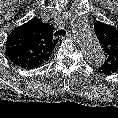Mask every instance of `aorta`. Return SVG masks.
I'll return each mask as SVG.
<instances>
[{"mask_svg": "<svg viewBox=\"0 0 118 118\" xmlns=\"http://www.w3.org/2000/svg\"><path fill=\"white\" fill-rule=\"evenodd\" d=\"M73 31L87 61L94 66L102 65L105 61L104 51L90 26L77 21L73 25Z\"/></svg>", "mask_w": 118, "mask_h": 118, "instance_id": "obj_1", "label": "aorta"}]
</instances>
